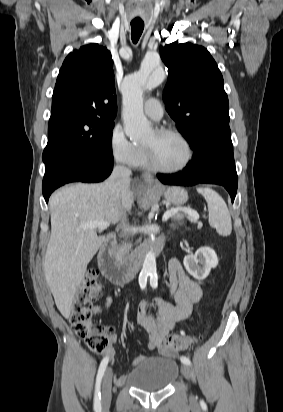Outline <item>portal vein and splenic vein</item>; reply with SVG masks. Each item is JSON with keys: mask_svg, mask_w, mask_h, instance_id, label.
Returning a JSON list of instances; mask_svg holds the SVG:
<instances>
[{"mask_svg": "<svg viewBox=\"0 0 283 412\" xmlns=\"http://www.w3.org/2000/svg\"><path fill=\"white\" fill-rule=\"evenodd\" d=\"M179 211L188 214L189 216H191L192 218H194L196 220L199 219L198 213L195 210L191 209V208H176V209H172V210L167 211L163 215L162 221H164V222L167 221L170 217L174 216ZM109 225H110V223L108 221H92V222L82 224L81 228H83V229L97 228L98 230L102 231V230L108 228Z\"/></svg>", "mask_w": 283, "mask_h": 412, "instance_id": "portal-vein-and-splenic-vein-1", "label": "portal vein and splenic vein"}]
</instances>
